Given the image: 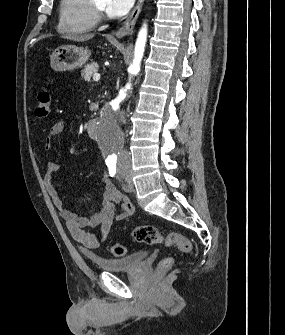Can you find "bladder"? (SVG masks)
<instances>
[{
    "mask_svg": "<svg viewBox=\"0 0 285 335\" xmlns=\"http://www.w3.org/2000/svg\"><path fill=\"white\" fill-rule=\"evenodd\" d=\"M146 250H138L124 257L92 258V265H98L105 272L132 273L145 264Z\"/></svg>",
    "mask_w": 285,
    "mask_h": 335,
    "instance_id": "31cf9c89",
    "label": "bladder"
}]
</instances>
